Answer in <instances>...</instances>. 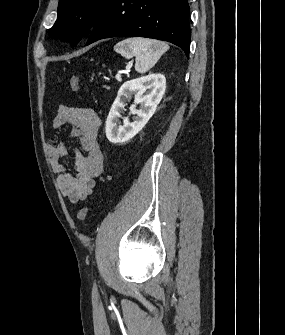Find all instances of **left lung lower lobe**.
<instances>
[{
    "label": "left lung lower lobe",
    "instance_id": "0a47b994",
    "mask_svg": "<svg viewBox=\"0 0 285 335\" xmlns=\"http://www.w3.org/2000/svg\"><path fill=\"white\" fill-rule=\"evenodd\" d=\"M189 13L188 0H112L86 45L110 37H146L171 42L189 58Z\"/></svg>",
    "mask_w": 285,
    "mask_h": 335
}]
</instances>
